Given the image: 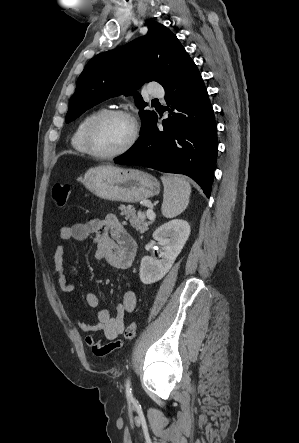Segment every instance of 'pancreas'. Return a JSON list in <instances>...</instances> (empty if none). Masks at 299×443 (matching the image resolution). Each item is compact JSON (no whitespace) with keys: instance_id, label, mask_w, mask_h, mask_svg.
<instances>
[{"instance_id":"1","label":"pancreas","mask_w":299,"mask_h":443,"mask_svg":"<svg viewBox=\"0 0 299 443\" xmlns=\"http://www.w3.org/2000/svg\"><path fill=\"white\" fill-rule=\"evenodd\" d=\"M119 210L121 211V215L125 216V218L129 220L131 226L140 233L147 231L148 226L152 223L146 221V213L138 212L136 214V210L132 205L121 206Z\"/></svg>"}]
</instances>
